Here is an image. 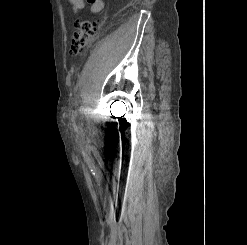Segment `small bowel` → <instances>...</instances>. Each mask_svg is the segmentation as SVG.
I'll return each instance as SVG.
<instances>
[{
  "instance_id": "1",
  "label": "small bowel",
  "mask_w": 247,
  "mask_h": 245,
  "mask_svg": "<svg viewBox=\"0 0 247 245\" xmlns=\"http://www.w3.org/2000/svg\"><path fill=\"white\" fill-rule=\"evenodd\" d=\"M69 2L75 15H80L83 12L85 8V2L90 4V11L93 14L100 13L104 8L103 0H69Z\"/></svg>"
}]
</instances>
